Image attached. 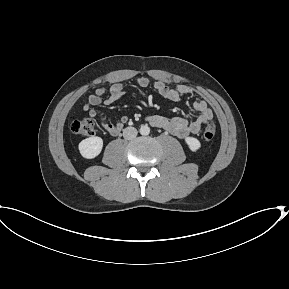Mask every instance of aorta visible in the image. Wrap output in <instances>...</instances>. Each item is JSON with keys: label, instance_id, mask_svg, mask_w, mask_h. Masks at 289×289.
<instances>
[{"label": "aorta", "instance_id": "762f6f07", "mask_svg": "<svg viewBox=\"0 0 289 289\" xmlns=\"http://www.w3.org/2000/svg\"><path fill=\"white\" fill-rule=\"evenodd\" d=\"M150 133V128L148 127V125H142L140 127V134L141 135H148Z\"/></svg>", "mask_w": 289, "mask_h": 289}]
</instances>
